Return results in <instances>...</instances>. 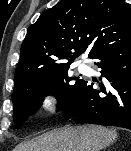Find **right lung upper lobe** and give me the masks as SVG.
I'll return each instance as SVG.
<instances>
[{"label":"right lung upper lobe","instance_id":"right-lung-upper-lobe-1","mask_svg":"<svg viewBox=\"0 0 131 151\" xmlns=\"http://www.w3.org/2000/svg\"><path fill=\"white\" fill-rule=\"evenodd\" d=\"M129 33L131 11L124 0H61L28 28L14 89Z\"/></svg>","mask_w":131,"mask_h":151}]
</instances>
